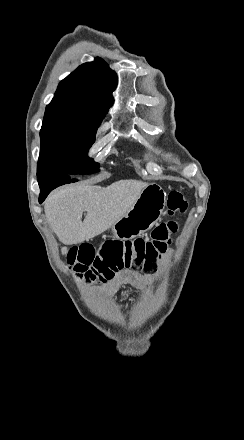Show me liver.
Returning <instances> with one entry per match:
<instances>
[{
	"mask_svg": "<svg viewBox=\"0 0 244 440\" xmlns=\"http://www.w3.org/2000/svg\"><path fill=\"white\" fill-rule=\"evenodd\" d=\"M147 182L120 180L107 188L101 186H62L46 202L48 224L65 246L81 244L109 230L135 204ZM87 216L82 222V214ZM67 254L68 248H61Z\"/></svg>",
	"mask_w": 244,
	"mask_h": 440,
	"instance_id": "6515ba94",
	"label": "liver"
}]
</instances>
